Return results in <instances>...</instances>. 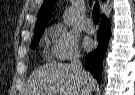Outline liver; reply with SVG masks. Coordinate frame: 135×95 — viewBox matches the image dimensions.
I'll return each instance as SVG.
<instances>
[{"instance_id": "liver-1", "label": "liver", "mask_w": 135, "mask_h": 95, "mask_svg": "<svg viewBox=\"0 0 135 95\" xmlns=\"http://www.w3.org/2000/svg\"><path fill=\"white\" fill-rule=\"evenodd\" d=\"M89 76L92 89L96 80ZM86 85L82 77L74 72L70 64H47L35 70L30 76L25 95H83Z\"/></svg>"}]
</instances>
